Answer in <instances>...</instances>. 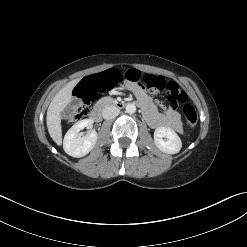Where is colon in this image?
I'll use <instances>...</instances> for the list:
<instances>
[{"label":"colon","mask_w":247,"mask_h":247,"mask_svg":"<svg viewBox=\"0 0 247 247\" xmlns=\"http://www.w3.org/2000/svg\"><path fill=\"white\" fill-rule=\"evenodd\" d=\"M124 77L131 83L145 85L153 92L166 90L167 98L172 106L184 103L187 99L185 92L175 82H165L160 76L146 74L144 76L138 70L130 69L125 72ZM123 76L115 68H108L98 71L90 76H85L77 81L75 92L79 99L78 103L70 106L68 110V120L79 121L90 113V104L99 94L115 91L121 87ZM183 114L187 125L194 128L198 121V115L191 104H185Z\"/></svg>","instance_id":"1"}]
</instances>
